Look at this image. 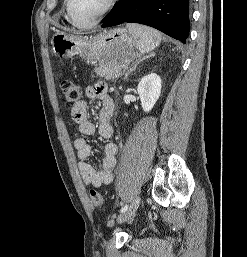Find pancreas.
I'll return each instance as SVG.
<instances>
[{
    "label": "pancreas",
    "instance_id": "1",
    "mask_svg": "<svg viewBox=\"0 0 247 257\" xmlns=\"http://www.w3.org/2000/svg\"><path fill=\"white\" fill-rule=\"evenodd\" d=\"M96 74L108 80H115L122 75V66L117 63H104L95 70Z\"/></svg>",
    "mask_w": 247,
    "mask_h": 257
}]
</instances>
